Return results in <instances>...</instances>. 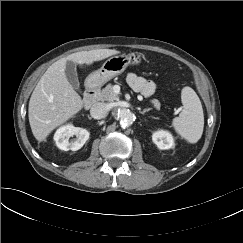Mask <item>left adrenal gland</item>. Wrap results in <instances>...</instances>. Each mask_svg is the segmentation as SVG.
I'll use <instances>...</instances> for the list:
<instances>
[{"mask_svg":"<svg viewBox=\"0 0 243 243\" xmlns=\"http://www.w3.org/2000/svg\"><path fill=\"white\" fill-rule=\"evenodd\" d=\"M151 110V108H148V109H144V110H139V112L141 113V114H144V113H146V112H149Z\"/></svg>","mask_w":243,"mask_h":243,"instance_id":"obj_1","label":"left adrenal gland"}]
</instances>
